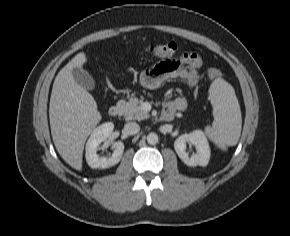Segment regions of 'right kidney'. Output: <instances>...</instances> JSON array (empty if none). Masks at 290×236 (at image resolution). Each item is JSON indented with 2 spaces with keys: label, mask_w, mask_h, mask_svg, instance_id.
Wrapping results in <instances>:
<instances>
[{
  "label": "right kidney",
  "mask_w": 290,
  "mask_h": 236,
  "mask_svg": "<svg viewBox=\"0 0 290 236\" xmlns=\"http://www.w3.org/2000/svg\"><path fill=\"white\" fill-rule=\"evenodd\" d=\"M114 129L112 122H106L95 128L86 143V161L91 168H109L119 163L124 151L121 141L112 145L113 153L110 157H99L97 150L101 142L108 139Z\"/></svg>",
  "instance_id": "right-kidney-1"
}]
</instances>
